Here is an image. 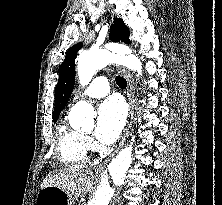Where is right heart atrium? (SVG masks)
<instances>
[{"label": "right heart atrium", "instance_id": "1", "mask_svg": "<svg viewBox=\"0 0 222 205\" xmlns=\"http://www.w3.org/2000/svg\"><path fill=\"white\" fill-rule=\"evenodd\" d=\"M86 144H87V147H88L89 149H92L93 146H94L92 140L89 139V138H86Z\"/></svg>", "mask_w": 222, "mask_h": 205}]
</instances>
